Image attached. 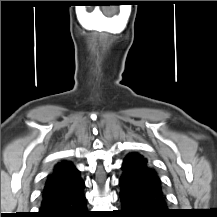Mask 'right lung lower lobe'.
<instances>
[{"label": "right lung lower lobe", "instance_id": "right-lung-lower-lobe-1", "mask_svg": "<svg viewBox=\"0 0 217 217\" xmlns=\"http://www.w3.org/2000/svg\"><path fill=\"white\" fill-rule=\"evenodd\" d=\"M84 187L71 195L43 202L34 217H90Z\"/></svg>", "mask_w": 217, "mask_h": 217}]
</instances>
